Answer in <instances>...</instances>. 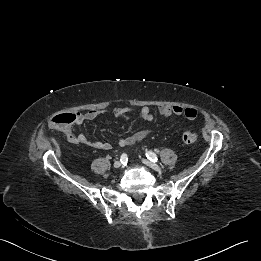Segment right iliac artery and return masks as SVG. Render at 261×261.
Returning a JSON list of instances; mask_svg holds the SVG:
<instances>
[{
	"instance_id": "1",
	"label": "right iliac artery",
	"mask_w": 261,
	"mask_h": 261,
	"mask_svg": "<svg viewBox=\"0 0 261 261\" xmlns=\"http://www.w3.org/2000/svg\"><path fill=\"white\" fill-rule=\"evenodd\" d=\"M120 161H121L122 164H126L127 161H128L127 154L123 153V154L121 155Z\"/></svg>"
}]
</instances>
